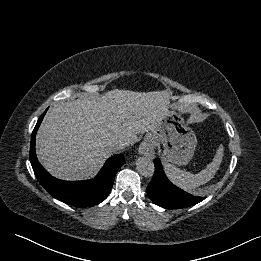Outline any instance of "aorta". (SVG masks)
<instances>
[{"instance_id":"aorta-1","label":"aorta","mask_w":261,"mask_h":261,"mask_svg":"<svg viewBox=\"0 0 261 261\" xmlns=\"http://www.w3.org/2000/svg\"><path fill=\"white\" fill-rule=\"evenodd\" d=\"M136 169L143 177H152L154 174V163L148 157H139L136 161Z\"/></svg>"}]
</instances>
